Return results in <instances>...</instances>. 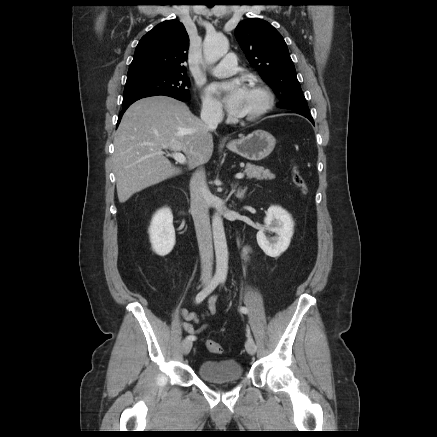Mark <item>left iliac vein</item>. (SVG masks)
Listing matches in <instances>:
<instances>
[{"label": "left iliac vein", "instance_id": "obj_1", "mask_svg": "<svg viewBox=\"0 0 437 437\" xmlns=\"http://www.w3.org/2000/svg\"><path fill=\"white\" fill-rule=\"evenodd\" d=\"M245 348L250 355H254L256 352V345L254 341L250 338H248V340L246 341Z\"/></svg>", "mask_w": 437, "mask_h": 437}]
</instances>
